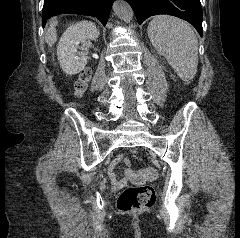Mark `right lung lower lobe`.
Here are the masks:
<instances>
[{"mask_svg": "<svg viewBox=\"0 0 240 238\" xmlns=\"http://www.w3.org/2000/svg\"><path fill=\"white\" fill-rule=\"evenodd\" d=\"M114 0H44L42 25L52 16L62 13L96 17L106 25Z\"/></svg>", "mask_w": 240, "mask_h": 238, "instance_id": "right-lung-lower-lobe-1", "label": "right lung lower lobe"}]
</instances>
